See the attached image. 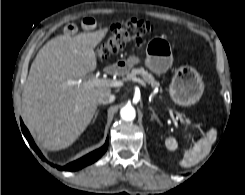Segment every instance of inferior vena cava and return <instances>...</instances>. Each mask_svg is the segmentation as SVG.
<instances>
[{
	"instance_id": "1",
	"label": "inferior vena cava",
	"mask_w": 245,
	"mask_h": 195,
	"mask_svg": "<svg viewBox=\"0 0 245 195\" xmlns=\"http://www.w3.org/2000/svg\"><path fill=\"white\" fill-rule=\"evenodd\" d=\"M115 100V96L110 93H102L97 98L98 104H108L112 103Z\"/></svg>"
}]
</instances>
